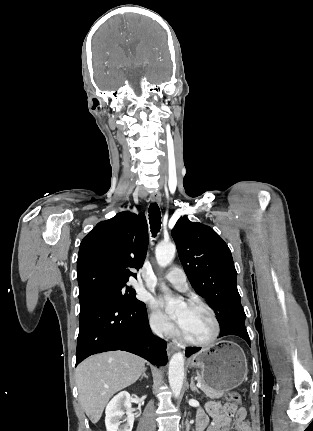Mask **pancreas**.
<instances>
[{
	"label": "pancreas",
	"mask_w": 313,
	"mask_h": 431,
	"mask_svg": "<svg viewBox=\"0 0 313 431\" xmlns=\"http://www.w3.org/2000/svg\"><path fill=\"white\" fill-rule=\"evenodd\" d=\"M199 382L202 384L201 390L204 392V394L206 395V397H209L211 399H215V398H221L224 394L223 391H218V390H214L212 388H210L209 386H207L206 384H204L199 376L198 378Z\"/></svg>",
	"instance_id": "obj_1"
}]
</instances>
